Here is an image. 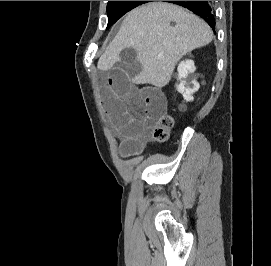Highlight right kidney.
<instances>
[{
  "instance_id": "ca27d5eb",
  "label": "right kidney",
  "mask_w": 271,
  "mask_h": 266,
  "mask_svg": "<svg viewBox=\"0 0 271 266\" xmlns=\"http://www.w3.org/2000/svg\"><path fill=\"white\" fill-rule=\"evenodd\" d=\"M195 65L193 60H183L178 65V80L177 90L183 95L187 102L193 101V93L198 91L200 85L194 77Z\"/></svg>"
}]
</instances>
